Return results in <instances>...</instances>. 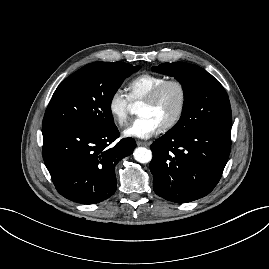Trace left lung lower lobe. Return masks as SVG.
<instances>
[{
  "instance_id": "left-lung-lower-lobe-1",
  "label": "left lung lower lobe",
  "mask_w": 269,
  "mask_h": 269,
  "mask_svg": "<svg viewBox=\"0 0 269 269\" xmlns=\"http://www.w3.org/2000/svg\"><path fill=\"white\" fill-rule=\"evenodd\" d=\"M230 149V126L197 128L183 135L166 133L151 145L155 193L176 203L208 195L221 178Z\"/></svg>"
}]
</instances>
